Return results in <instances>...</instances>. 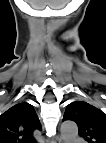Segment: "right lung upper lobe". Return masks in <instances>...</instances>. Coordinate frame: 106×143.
Returning <instances> with one entry per match:
<instances>
[{"mask_svg":"<svg viewBox=\"0 0 106 143\" xmlns=\"http://www.w3.org/2000/svg\"><path fill=\"white\" fill-rule=\"evenodd\" d=\"M41 129L33 106L27 102L16 104L0 115V143H27L33 140V132Z\"/></svg>","mask_w":106,"mask_h":143,"instance_id":"cb5924a9","label":"right lung upper lobe"}]
</instances>
